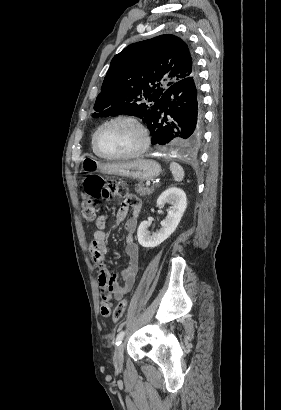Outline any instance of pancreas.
Returning a JSON list of instances; mask_svg holds the SVG:
<instances>
[{"mask_svg": "<svg viewBox=\"0 0 281 410\" xmlns=\"http://www.w3.org/2000/svg\"><path fill=\"white\" fill-rule=\"evenodd\" d=\"M135 191L140 195H150L153 192V188L146 187L144 184L139 183L136 185Z\"/></svg>", "mask_w": 281, "mask_h": 410, "instance_id": "cf45deb5", "label": "pancreas"}]
</instances>
